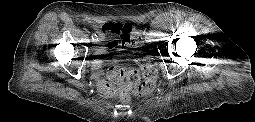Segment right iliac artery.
I'll list each match as a JSON object with an SVG mask.
<instances>
[{"mask_svg": "<svg viewBox=\"0 0 255 122\" xmlns=\"http://www.w3.org/2000/svg\"><path fill=\"white\" fill-rule=\"evenodd\" d=\"M91 37H92V40H93V41L97 39V35H96V34H94V33L92 34V36H91Z\"/></svg>", "mask_w": 255, "mask_h": 122, "instance_id": "82829eb1", "label": "right iliac artery"}]
</instances>
